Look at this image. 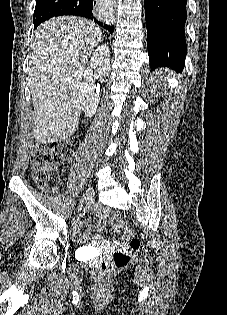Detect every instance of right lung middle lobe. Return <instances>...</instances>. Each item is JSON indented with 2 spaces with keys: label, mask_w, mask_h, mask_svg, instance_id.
Wrapping results in <instances>:
<instances>
[{
  "label": "right lung middle lobe",
  "mask_w": 227,
  "mask_h": 315,
  "mask_svg": "<svg viewBox=\"0 0 227 315\" xmlns=\"http://www.w3.org/2000/svg\"><path fill=\"white\" fill-rule=\"evenodd\" d=\"M71 0H37L34 11V29L42 22L54 17L58 10Z\"/></svg>",
  "instance_id": "dd1d6c3e"
}]
</instances>
